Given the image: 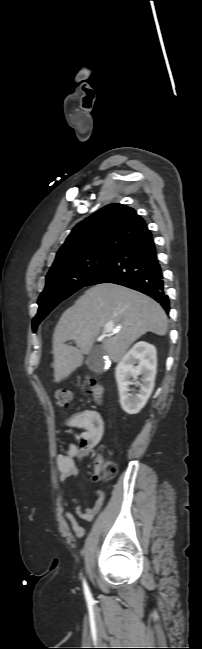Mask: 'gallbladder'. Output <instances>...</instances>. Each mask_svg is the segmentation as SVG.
<instances>
[{
	"instance_id": "obj_1",
	"label": "gallbladder",
	"mask_w": 202,
	"mask_h": 649,
	"mask_svg": "<svg viewBox=\"0 0 202 649\" xmlns=\"http://www.w3.org/2000/svg\"><path fill=\"white\" fill-rule=\"evenodd\" d=\"M86 364L91 370L101 371L103 366V352L97 347H93L87 354Z\"/></svg>"
}]
</instances>
